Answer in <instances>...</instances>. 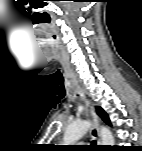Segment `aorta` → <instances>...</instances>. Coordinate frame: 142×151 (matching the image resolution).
Here are the masks:
<instances>
[{
  "mask_svg": "<svg viewBox=\"0 0 142 151\" xmlns=\"http://www.w3.org/2000/svg\"><path fill=\"white\" fill-rule=\"evenodd\" d=\"M90 127L91 122L86 120L71 123L64 133L63 142L65 145H71L77 142L86 134ZM100 136L102 145L114 146V137L107 127H101Z\"/></svg>",
  "mask_w": 142,
  "mask_h": 151,
  "instance_id": "762f6f07",
  "label": "aorta"
}]
</instances>
